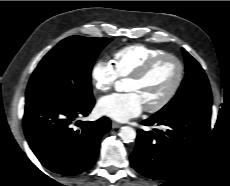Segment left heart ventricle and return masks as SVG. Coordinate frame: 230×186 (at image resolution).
Instances as JSON below:
<instances>
[{
    "label": "left heart ventricle",
    "mask_w": 230,
    "mask_h": 186,
    "mask_svg": "<svg viewBox=\"0 0 230 186\" xmlns=\"http://www.w3.org/2000/svg\"><path fill=\"white\" fill-rule=\"evenodd\" d=\"M176 75V64L172 60H164L143 80L133 81L128 79L125 84V91L137 94L144 107L153 105L169 91Z\"/></svg>",
    "instance_id": "1"
}]
</instances>
